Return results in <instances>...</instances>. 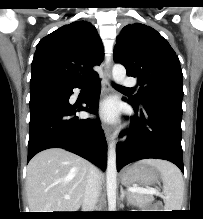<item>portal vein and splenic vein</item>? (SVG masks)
<instances>
[{
    "mask_svg": "<svg viewBox=\"0 0 203 219\" xmlns=\"http://www.w3.org/2000/svg\"><path fill=\"white\" fill-rule=\"evenodd\" d=\"M128 191L132 193H140V194H159V192L156 189H146V188H141V187H129ZM65 199H70L69 195H66L64 197Z\"/></svg>",
    "mask_w": 203,
    "mask_h": 219,
    "instance_id": "obj_1",
    "label": "portal vein and splenic vein"
}]
</instances>
